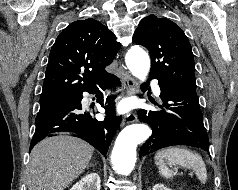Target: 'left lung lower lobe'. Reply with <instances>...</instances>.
I'll return each mask as SVG.
<instances>
[{
  "label": "left lung lower lobe",
  "instance_id": "1",
  "mask_svg": "<svg viewBox=\"0 0 238 190\" xmlns=\"http://www.w3.org/2000/svg\"><path fill=\"white\" fill-rule=\"evenodd\" d=\"M162 105L159 111L140 110L141 122L152 127L151 137L143 144L140 157L159 149L187 145L209 152V139L203 124L196 90L159 82Z\"/></svg>",
  "mask_w": 238,
  "mask_h": 190
}]
</instances>
